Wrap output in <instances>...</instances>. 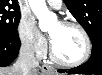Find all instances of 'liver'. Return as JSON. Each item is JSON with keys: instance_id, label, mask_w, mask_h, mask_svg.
Segmentation results:
<instances>
[{"instance_id": "obj_1", "label": "liver", "mask_w": 102, "mask_h": 75, "mask_svg": "<svg viewBox=\"0 0 102 75\" xmlns=\"http://www.w3.org/2000/svg\"><path fill=\"white\" fill-rule=\"evenodd\" d=\"M0 75H22L18 68L14 65L11 67L1 68ZM32 75H39L38 72H34Z\"/></svg>"}]
</instances>
